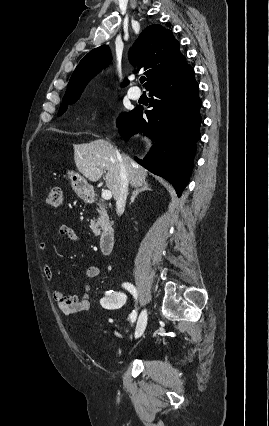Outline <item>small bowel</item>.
Masks as SVG:
<instances>
[{
  "label": "small bowel",
  "instance_id": "obj_1",
  "mask_svg": "<svg viewBox=\"0 0 269 426\" xmlns=\"http://www.w3.org/2000/svg\"><path fill=\"white\" fill-rule=\"evenodd\" d=\"M57 232L60 237H66L75 242L82 240V237L77 234L69 225L66 224L60 225L58 227ZM38 249L39 252L43 256H45V253L47 251V244L41 242L38 245ZM100 272L101 269L98 265H91L85 270L84 275L86 278V283L84 285L83 292L81 295H72L66 293L61 289H55L53 291V299L62 314L66 316H76L91 308L92 301L89 296L91 283L93 279H95L100 274ZM43 274L49 282H52L54 280L53 269L46 260H44L43 263Z\"/></svg>",
  "mask_w": 269,
  "mask_h": 426
}]
</instances>
